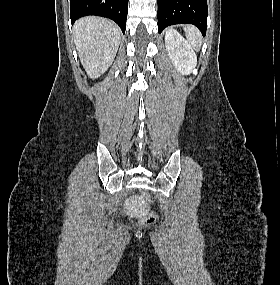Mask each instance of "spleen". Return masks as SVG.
Here are the masks:
<instances>
[{
  "label": "spleen",
  "instance_id": "3e777b00",
  "mask_svg": "<svg viewBox=\"0 0 280 285\" xmlns=\"http://www.w3.org/2000/svg\"><path fill=\"white\" fill-rule=\"evenodd\" d=\"M185 34L187 36V40L190 45L194 48L199 50L201 46V34L194 26H185L184 27Z\"/></svg>",
  "mask_w": 280,
  "mask_h": 285
}]
</instances>
